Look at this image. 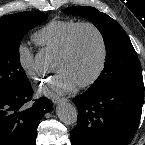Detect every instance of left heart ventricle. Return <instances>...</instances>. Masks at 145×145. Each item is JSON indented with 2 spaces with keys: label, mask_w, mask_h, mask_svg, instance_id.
Instances as JSON below:
<instances>
[{
  "label": "left heart ventricle",
  "mask_w": 145,
  "mask_h": 145,
  "mask_svg": "<svg viewBox=\"0 0 145 145\" xmlns=\"http://www.w3.org/2000/svg\"><path fill=\"white\" fill-rule=\"evenodd\" d=\"M100 58L101 48L97 35L90 28H82L77 34L72 53L68 57L58 55L55 70L67 71L78 84L94 74Z\"/></svg>",
  "instance_id": "left-heart-ventricle-1"
}]
</instances>
